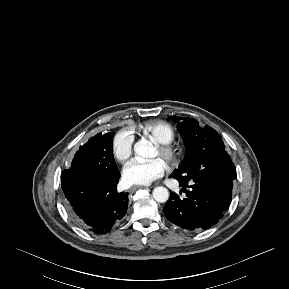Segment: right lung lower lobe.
I'll return each instance as SVG.
<instances>
[{
  "instance_id": "98d812e1",
  "label": "right lung lower lobe",
  "mask_w": 289,
  "mask_h": 289,
  "mask_svg": "<svg viewBox=\"0 0 289 289\" xmlns=\"http://www.w3.org/2000/svg\"><path fill=\"white\" fill-rule=\"evenodd\" d=\"M119 178L118 168L99 175L63 171L65 205L80 227L104 234L125 216L129 199L127 192H117Z\"/></svg>"
}]
</instances>
